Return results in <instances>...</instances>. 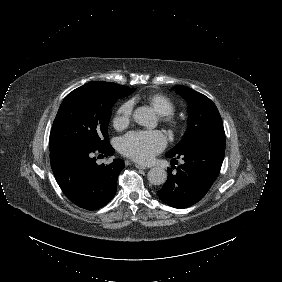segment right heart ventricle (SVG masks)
<instances>
[{"label": "right heart ventricle", "instance_id": "obj_1", "mask_svg": "<svg viewBox=\"0 0 282 282\" xmlns=\"http://www.w3.org/2000/svg\"><path fill=\"white\" fill-rule=\"evenodd\" d=\"M135 101L136 99H133L132 103ZM149 103L153 109L162 116L170 115L174 110L172 102L161 94L151 96L149 98Z\"/></svg>", "mask_w": 282, "mask_h": 282}]
</instances>
